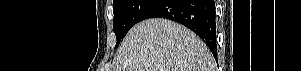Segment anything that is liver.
Returning <instances> with one entry per match:
<instances>
[{
    "label": "liver",
    "mask_w": 301,
    "mask_h": 71,
    "mask_svg": "<svg viewBox=\"0 0 301 71\" xmlns=\"http://www.w3.org/2000/svg\"><path fill=\"white\" fill-rule=\"evenodd\" d=\"M215 60L192 31L170 20L136 24L123 39L113 71H214Z\"/></svg>",
    "instance_id": "6515ba94"
}]
</instances>
